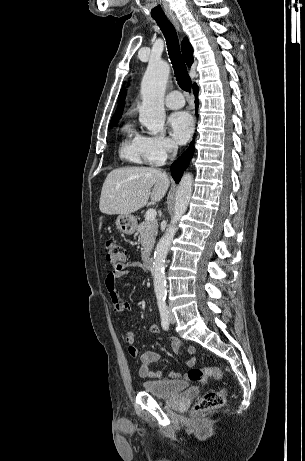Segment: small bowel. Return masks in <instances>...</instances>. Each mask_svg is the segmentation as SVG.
I'll use <instances>...</instances> for the list:
<instances>
[{"instance_id": "obj_1", "label": "small bowel", "mask_w": 305, "mask_h": 461, "mask_svg": "<svg viewBox=\"0 0 305 461\" xmlns=\"http://www.w3.org/2000/svg\"><path fill=\"white\" fill-rule=\"evenodd\" d=\"M140 264L137 262H128L125 266L120 269H115L109 272L105 278V288L109 295L110 301L113 306L114 313L119 317L123 318L126 312L131 311V305L125 301L120 295L117 283L120 278H123L130 274L132 269L140 268ZM151 331H157L155 325H151ZM124 342L127 346L128 352L132 357L139 355V349L135 345V334L132 331H127L124 337ZM170 346L173 352H178L181 347V342L176 337L170 338ZM196 349L193 346H189L186 349V353L193 355ZM162 357V354L155 351H146L140 356V367L138 370L139 376L142 378H161L163 373L161 371H154L150 368V365L157 362ZM197 362L196 357L192 356L186 359L185 363L188 367H193ZM171 377L177 378L182 375L177 372L170 373Z\"/></svg>"}]
</instances>
